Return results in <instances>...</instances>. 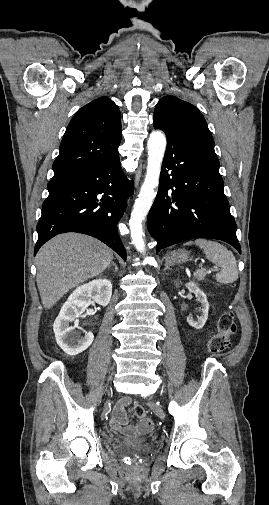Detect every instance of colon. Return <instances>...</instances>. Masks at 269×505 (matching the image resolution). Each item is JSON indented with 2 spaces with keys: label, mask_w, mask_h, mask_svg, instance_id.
<instances>
[{
  "label": "colon",
  "mask_w": 269,
  "mask_h": 505,
  "mask_svg": "<svg viewBox=\"0 0 269 505\" xmlns=\"http://www.w3.org/2000/svg\"><path fill=\"white\" fill-rule=\"evenodd\" d=\"M237 332V323L235 316L231 312H225L221 315L218 321L217 332L210 338L207 343V351L210 354L222 353L231 342V338ZM134 413L137 417L143 418L146 414L145 408L136 404L134 406Z\"/></svg>",
  "instance_id": "5ec220e1"
}]
</instances>
